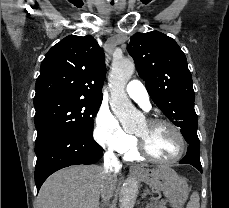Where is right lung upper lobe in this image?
<instances>
[{
	"instance_id": "right-lung-upper-lobe-1",
	"label": "right lung upper lobe",
	"mask_w": 229,
	"mask_h": 208,
	"mask_svg": "<svg viewBox=\"0 0 229 208\" xmlns=\"http://www.w3.org/2000/svg\"><path fill=\"white\" fill-rule=\"evenodd\" d=\"M105 73L104 52L92 36H67L42 61L34 101L62 95L102 102Z\"/></svg>"
}]
</instances>
